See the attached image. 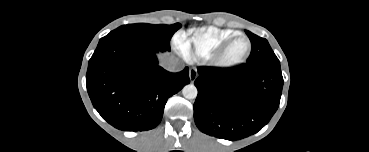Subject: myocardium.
<instances>
[{"label":"myocardium","mask_w":369,"mask_h":152,"mask_svg":"<svg viewBox=\"0 0 369 152\" xmlns=\"http://www.w3.org/2000/svg\"><path fill=\"white\" fill-rule=\"evenodd\" d=\"M238 39H244L247 41L248 47L245 52V54L236 60H228L226 58V54L230 46ZM252 51V42L248 36L245 34H236L230 38H228L226 41H224L213 53V55L209 58L210 62L219 68L222 69H231L237 66H240L241 64L245 63L247 59L249 58Z\"/></svg>","instance_id":"obj_1"}]
</instances>
